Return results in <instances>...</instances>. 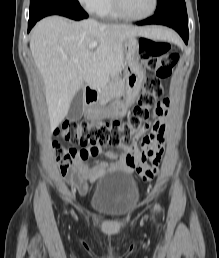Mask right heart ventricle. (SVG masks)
Segmentation results:
<instances>
[{
  "instance_id": "right-heart-ventricle-1",
  "label": "right heart ventricle",
  "mask_w": 219,
  "mask_h": 258,
  "mask_svg": "<svg viewBox=\"0 0 219 258\" xmlns=\"http://www.w3.org/2000/svg\"><path fill=\"white\" fill-rule=\"evenodd\" d=\"M97 14L101 17L110 18V19L118 17L114 9L112 0H105Z\"/></svg>"
}]
</instances>
